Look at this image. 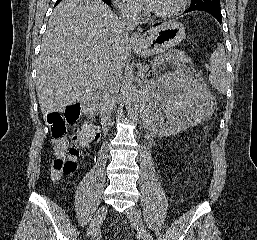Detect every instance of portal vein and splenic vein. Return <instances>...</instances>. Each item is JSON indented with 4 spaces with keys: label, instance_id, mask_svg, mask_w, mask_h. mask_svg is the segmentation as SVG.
<instances>
[{
    "label": "portal vein and splenic vein",
    "instance_id": "obj_1",
    "mask_svg": "<svg viewBox=\"0 0 257 240\" xmlns=\"http://www.w3.org/2000/svg\"><path fill=\"white\" fill-rule=\"evenodd\" d=\"M147 70H148V66L146 65V66L143 67V70L141 71V73L143 74V72H145Z\"/></svg>",
    "mask_w": 257,
    "mask_h": 240
}]
</instances>
